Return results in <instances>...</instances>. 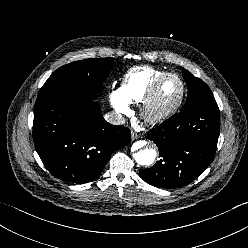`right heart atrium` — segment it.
<instances>
[{
    "mask_svg": "<svg viewBox=\"0 0 248 248\" xmlns=\"http://www.w3.org/2000/svg\"><path fill=\"white\" fill-rule=\"evenodd\" d=\"M110 102L118 113L126 115L130 112L129 102L123 95L121 88L110 93Z\"/></svg>",
    "mask_w": 248,
    "mask_h": 248,
    "instance_id": "d8ad5b80",
    "label": "right heart atrium"
}]
</instances>
